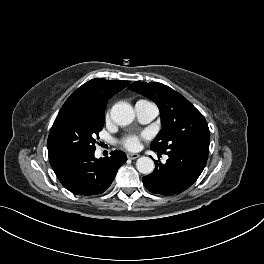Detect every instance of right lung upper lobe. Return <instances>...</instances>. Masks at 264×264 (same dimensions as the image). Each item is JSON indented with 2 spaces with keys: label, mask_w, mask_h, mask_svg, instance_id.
Returning a JSON list of instances; mask_svg holds the SVG:
<instances>
[{
  "label": "right lung upper lobe",
  "mask_w": 264,
  "mask_h": 264,
  "mask_svg": "<svg viewBox=\"0 0 264 264\" xmlns=\"http://www.w3.org/2000/svg\"><path fill=\"white\" fill-rule=\"evenodd\" d=\"M128 84L129 81L92 79L72 93L61 110L76 109L96 115H104L108 99Z\"/></svg>",
  "instance_id": "1"
}]
</instances>
